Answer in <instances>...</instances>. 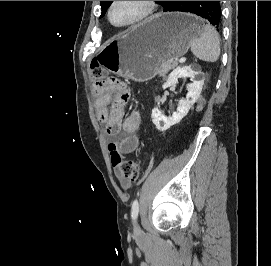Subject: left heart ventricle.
<instances>
[{
  "label": "left heart ventricle",
  "mask_w": 271,
  "mask_h": 266,
  "mask_svg": "<svg viewBox=\"0 0 271 266\" xmlns=\"http://www.w3.org/2000/svg\"><path fill=\"white\" fill-rule=\"evenodd\" d=\"M143 9L142 1H117L112 10V19L116 24H127L135 20Z\"/></svg>",
  "instance_id": "b2bd125f"
}]
</instances>
